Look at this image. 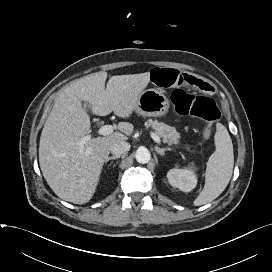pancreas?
Masks as SVG:
<instances>
[{
	"label": "pancreas",
	"instance_id": "obj_1",
	"mask_svg": "<svg viewBox=\"0 0 272 272\" xmlns=\"http://www.w3.org/2000/svg\"><path fill=\"white\" fill-rule=\"evenodd\" d=\"M155 130L158 137H161L164 143L169 145L178 144L180 139V134L172 126L166 125L163 122L149 120L147 122Z\"/></svg>",
	"mask_w": 272,
	"mask_h": 272
}]
</instances>
